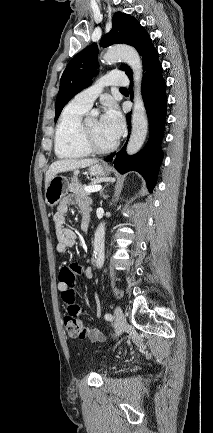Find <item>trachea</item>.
Wrapping results in <instances>:
<instances>
[{
	"instance_id": "obj_1",
	"label": "trachea",
	"mask_w": 213,
	"mask_h": 433,
	"mask_svg": "<svg viewBox=\"0 0 213 433\" xmlns=\"http://www.w3.org/2000/svg\"><path fill=\"white\" fill-rule=\"evenodd\" d=\"M120 89H121V90H125L126 88H124V87H121Z\"/></svg>"
}]
</instances>
